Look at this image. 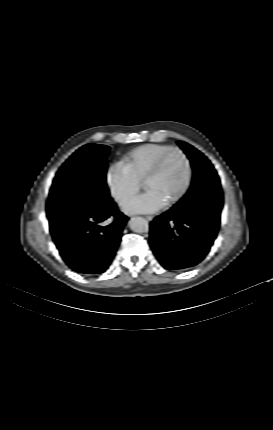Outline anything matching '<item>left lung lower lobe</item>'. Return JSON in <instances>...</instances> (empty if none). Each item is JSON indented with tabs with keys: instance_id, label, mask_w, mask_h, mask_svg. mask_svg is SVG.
Instances as JSON below:
<instances>
[{
	"instance_id": "obj_1",
	"label": "left lung lower lobe",
	"mask_w": 273,
	"mask_h": 430,
	"mask_svg": "<svg viewBox=\"0 0 273 430\" xmlns=\"http://www.w3.org/2000/svg\"><path fill=\"white\" fill-rule=\"evenodd\" d=\"M222 207L221 189L205 187L156 217L149 244L161 265L182 270L200 263L217 236Z\"/></svg>"
}]
</instances>
